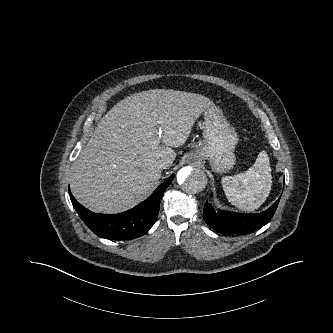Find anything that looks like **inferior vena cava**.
I'll return each mask as SVG.
<instances>
[{
	"label": "inferior vena cava",
	"mask_w": 333,
	"mask_h": 333,
	"mask_svg": "<svg viewBox=\"0 0 333 333\" xmlns=\"http://www.w3.org/2000/svg\"><path fill=\"white\" fill-rule=\"evenodd\" d=\"M156 165H157V168L160 169V170L161 169H166V168L169 167L168 162L163 160V159L158 160Z\"/></svg>",
	"instance_id": "obj_1"
}]
</instances>
